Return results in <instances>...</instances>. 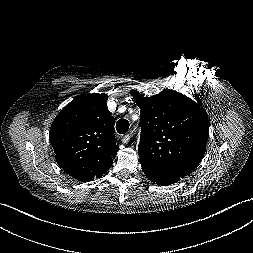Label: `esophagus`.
<instances>
[{
	"instance_id": "esophagus-1",
	"label": "esophagus",
	"mask_w": 253,
	"mask_h": 253,
	"mask_svg": "<svg viewBox=\"0 0 253 253\" xmlns=\"http://www.w3.org/2000/svg\"><path fill=\"white\" fill-rule=\"evenodd\" d=\"M129 140H130V135H129V134L124 135V136L122 137V142H123L124 144L128 143Z\"/></svg>"
}]
</instances>
